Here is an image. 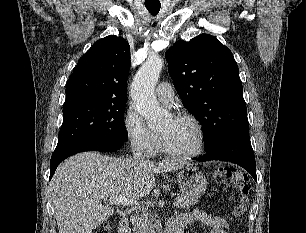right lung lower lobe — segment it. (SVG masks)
<instances>
[{"label":"right lung lower lobe","instance_id":"right-lung-lower-lobe-1","mask_svg":"<svg viewBox=\"0 0 306 233\" xmlns=\"http://www.w3.org/2000/svg\"><path fill=\"white\" fill-rule=\"evenodd\" d=\"M124 142H102V141H83L72 145H69L59 151H55L50 161V178L54 175L57 166L67 157L83 152V151H101V152H113L120 149Z\"/></svg>","mask_w":306,"mask_h":233}]
</instances>
